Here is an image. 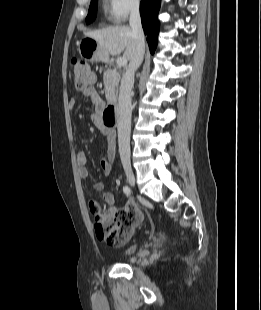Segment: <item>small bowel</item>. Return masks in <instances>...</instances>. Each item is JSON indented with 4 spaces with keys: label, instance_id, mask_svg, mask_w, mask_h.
I'll list each match as a JSON object with an SVG mask.
<instances>
[{
    "label": "small bowel",
    "instance_id": "c3829d8e",
    "mask_svg": "<svg viewBox=\"0 0 261 310\" xmlns=\"http://www.w3.org/2000/svg\"><path fill=\"white\" fill-rule=\"evenodd\" d=\"M83 95L90 98L94 106L100 109L103 106V100L94 87H88L83 90ZM76 106V99L72 98L69 100V108L73 109ZM95 122L99 126L103 136L105 137V144L103 146V157L101 160V168L105 175L111 174L113 168L112 164L115 160V146H114V134L109 129L103 127L98 117H95ZM78 173L82 179H86L89 176L87 168L88 157L84 152H79L77 155ZM93 187L101 191L102 199L109 205L107 210L108 215H113L119 210L114 206L115 197L111 192L105 191L102 183H95ZM141 222V221H140Z\"/></svg>",
    "mask_w": 261,
    "mask_h": 310
}]
</instances>
